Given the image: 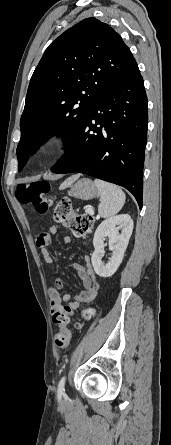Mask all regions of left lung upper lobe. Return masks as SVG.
<instances>
[{
  "instance_id": "5c2ea615",
  "label": "left lung upper lobe",
  "mask_w": 171,
  "mask_h": 445,
  "mask_svg": "<svg viewBox=\"0 0 171 445\" xmlns=\"http://www.w3.org/2000/svg\"><path fill=\"white\" fill-rule=\"evenodd\" d=\"M137 65L118 33L95 18L66 30L45 50L28 87L17 147L19 171L50 136L75 137L112 80Z\"/></svg>"
}]
</instances>
